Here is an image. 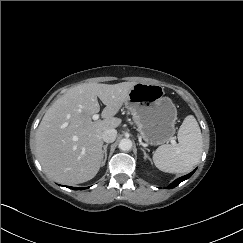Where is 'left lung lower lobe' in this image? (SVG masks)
Instances as JSON below:
<instances>
[{"mask_svg": "<svg viewBox=\"0 0 243 243\" xmlns=\"http://www.w3.org/2000/svg\"><path fill=\"white\" fill-rule=\"evenodd\" d=\"M195 170H196V169H195ZM195 170L192 171L191 173L185 175V176H182V177L176 179L173 183H171V184L168 186V188H169V189H172V188L178 186L182 181H184V180L190 178V177L192 176V174L195 172Z\"/></svg>", "mask_w": 243, "mask_h": 243, "instance_id": "0a47b994", "label": "left lung lower lobe"}]
</instances>
